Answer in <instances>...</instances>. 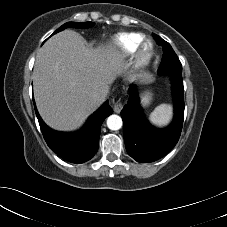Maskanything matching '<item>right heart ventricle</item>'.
I'll use <instances>...</instances> for the list:
<instances>
[{"label": "right heart ventricle", "instance_id": "right-heart-ventricle-1", "mask_svg": "<svg viewBox=\"0 0 227 227\" xmlns=\"http://www.w3.org/2000/svg\"><path fill=\"white\" fill-rule=\"evenodd\" d=\"M143 40L144 36L140 33H121L114 39L113 45L120 55L129 56L137 51Z\"/></svg>", "mask_w": 227, "mask_h": 227}]
</instances>
